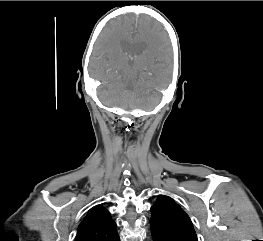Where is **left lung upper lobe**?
<instances>
[{"label":"left lung upper lobe","mask_w":263,"mask_h":241,"mask_svg":"<svg viewBox=\"0 0 263 241\" xmlns=\"http://www.w3.org/2000/svg\"><path fill=\"white\" fill-rule=\"evenodd\" d=\"M151 212L150 221L160 224L187 241H198L190 218L172 198L158 196Z\"/></svg>","instance_id":"5c2ea615"}]
</instances>
